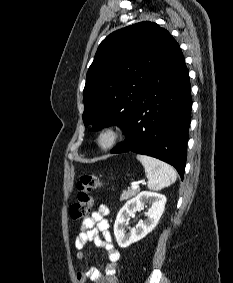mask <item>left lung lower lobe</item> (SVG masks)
Returning <instances> with one entry per match:
<instances>
[{"label": "left lung lower lobe", "instance_id": "obj_1", "mask_svg": "<svg viewBox=\"0 0 233 283\" xmlns=\"http://www.w3.org/2000/svg\"><path fill=\"white\" fill-rule=\"evenodd\" d=\"M191 107L189 73L176 43L147 80L123 129L127 137L111 153L133 151L158 158L174 166L183 179Z\"/></svg>", "mask_w": 233, "mask_h": 283}]
</instances>
